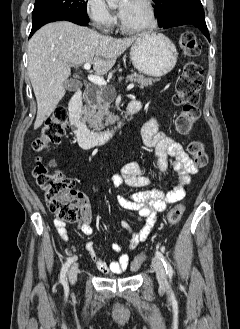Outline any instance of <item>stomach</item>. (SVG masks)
Listing matches in <instances>:
<instances>
[{"mask_svg": "<svg viewBox=\"0 0 240 329\" xmlns=\"http://www.w3.org/2000/svg\"><path fill=\"white\" fill-rule=\"evenodd\" d=\"M178 52L172 41L161 33L139 36L130 50L134 67L145 75L160 77L176 65Z\"/></svg>", "mask_w": 240, "mask_h": 329, "instance_id": "obj_1", "label": "stomach"}]
</instances>
